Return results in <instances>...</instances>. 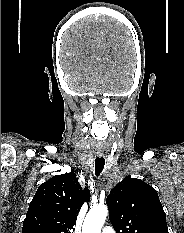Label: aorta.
<instances>
[{
  "label": "aorta",
  "instance_id": "aorta-1",
  "mask_svg": "<svg viewBox=\"0 0 184 233\" xmlns=\"http://www.w3.org/2000/svg\"><path fill=\"white\" fill-rule=\"evenodd\" d=\"M107 215L108 208L105 205L91 209L84 220L82 233H101Z\"/></svg>",
  "mask_w": 184,
  "mask_h": 233
}]
</instances>
